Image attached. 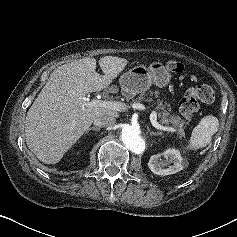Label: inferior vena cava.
Returning <instances> with one entry per match:
<instances>
[{"label":"inferior vena cava","instance_id":"obj_1","mask_svg":"<svg viewBox=\"0 0 237 237\" xmlns=\"http://www.w3.org/2000/svg\"><path fill=\"white\" fill-rule=\"evenodd\" d=\"M116 122V119L114 116L109 115V114H104L99 117H97L94 120V125L97 127H107L111 126Z\"/></svg>","mask_w":237,"mask_h":237}]
</instances>
